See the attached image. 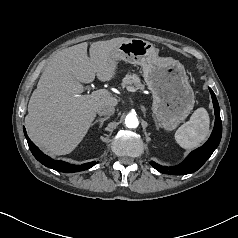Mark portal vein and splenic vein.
Masks as SVG:
<instances>
[{"mask_svg":"<svg viewBox=\"0 0 238 238\" xmlns=\"http://www.w3.org/2000/svg\"><path fill=\"white\" fill-rule=\"evenodd\" d=\"M128 90L129 91H134V89L131 88V87H129ZM81 96L82 95H76V97H81ZM91 96L94 97V98H100V97L110 96V93L106 89H99V90L93 91Z\"/></svg>","mask_w":238,"mask_h":238,"instance_id":"1","label":"portal vein and splenic vein"}]
</instances>
